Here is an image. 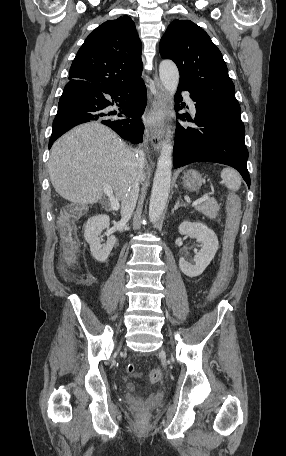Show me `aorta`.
<instances>
[{
  "label": "aorta",
  "instance_id": "aorta-1",
  "mask_svg": "<svg viewBox=\"0 0 286 456\" xmlns=\"http://www.w3.org/2000/svg\"><path fill=\"white\" fill-rule=\"evenodd\" d=\"M159 76L168 100L172 102L179 83V71L171 60H163L159 65ZM172 132L168 130L167 139L163 143L157 168L154 176L151 198L149 203V218L151 222L157 221L163 213L170 192L172 176V151L170 141Z\"/></svg>",
  "mask_w": 286,
  "mask_h": 456
}]
</instances>
